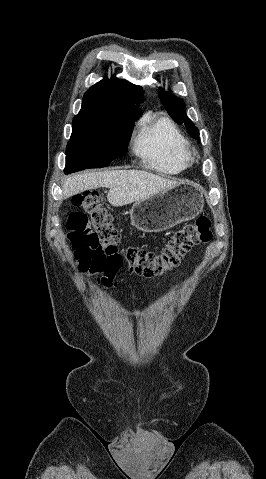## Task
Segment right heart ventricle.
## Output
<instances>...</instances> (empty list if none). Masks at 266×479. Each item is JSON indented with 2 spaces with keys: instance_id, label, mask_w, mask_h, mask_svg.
I'll return each instance as SVG.
<instances>
[{
  "instance_id": "e07e8e85",
  "label": "right heart ventricle",
  "mask_w": 266,
  "mask_h": 479,
  "mask_svg": "<svg viewBox=\"0 0 266 479\" xmlns=\"http://www.w3.org/2000/svg\"><path fill=\"white\" fill-rule=\"evenodd\" d=\"M133 150L146 168L163 175L179 174L193 161L188 140L166 117L145 119Z\"/></svg>"
}]
</instances>
